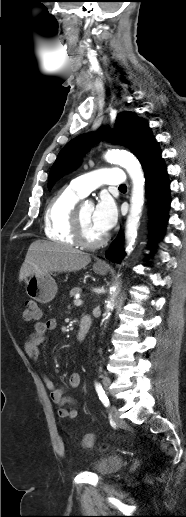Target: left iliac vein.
<instances>
[{
    "label": "left iliac vein",
    "instance_id": "left-iliac-vein-1",
    "mask_svg": "<svg viewBox=\"0 0 186 517\" xmlns=\"http://www.w3.org/2000/svg\"><path fill=\"white\" fill-rule=\"evenodd\" d=\"M108 411H109V413H110V415H111L112 419H113L116 423H121V422H122V420H121V418H120L119 410H118V408H117L116 406H113V405H112V406H110V407L108 408Z\"/></svg>",
    "mask_w": 186,
    "mask_h": 517
}]
</instances>
